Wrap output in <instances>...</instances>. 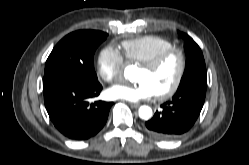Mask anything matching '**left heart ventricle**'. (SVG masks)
Wrapping results in <instances>:
<instances>
[{"mask_svg":"<svg viewBox=\"0 0 249 165\" xmlns=\"http://www.w3.org/2000/svg\"><path fill=\"white\" fill-rule=\"evenodd\" d=\"M179 66L176 55L168 58L165 63L155 72H150L142 67L135 73V79L148 82L155 93L162 92L173 83Z\"/></svg>","mask_w":249,"mask_h":165,"instance_id":"b2bd125f","label":"left heart ventricle"}]
</instances>
